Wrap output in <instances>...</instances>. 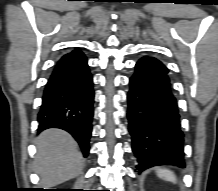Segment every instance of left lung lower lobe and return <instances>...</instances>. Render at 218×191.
<instances>
[{
	"mask_svg": "<svg viewBox=\"0 0 218 191\" xmlns=\"http://www.w3.org/2000/svg\"><path fill=\"white\" fill-rule=\"evenodd\" d=\"M130 78L129 132L139 173L157 165L184 168L183 132L169 70L156 58L143 57Z\"/></svg>",
	"mask_w": 218,
	"mask_h": 191,
	"instance_id": "1",
	"label": "left lung lower lobe"
}]
</instances>
